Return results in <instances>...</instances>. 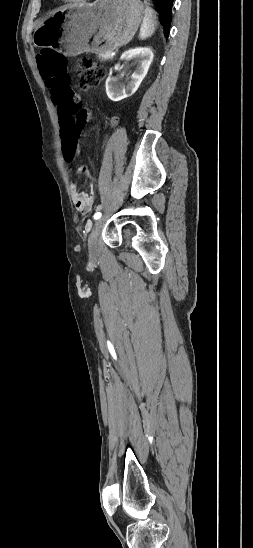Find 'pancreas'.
<instances>
[{"mask_svg": "<svg viewBox=\"0 0 253 548\" xmlns=\"http://www.w3.org/2000/svg\"><path fill=\"white\" fill-rule=\"evenodd\" d=\"M97 54H98L99 59H101V60H111L112 59L111 52L97 53Z\"/></svg>", "mask_w": 253, "mask_h": 548, "instance_id": "1", "label": "pancreas"}]
</instances>
